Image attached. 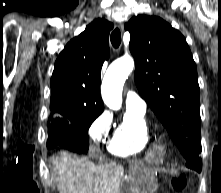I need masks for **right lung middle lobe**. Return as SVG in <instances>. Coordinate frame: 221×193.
Instances as JSON below:
<instances>
[{
  "label": "right lung middle lobe",
  "mask_w": 221,
  "mask_h": 193,
  "mask_svg": "<svg viewBox=\"0 0 221 193\" xmlns=\"http://www.w3.org/2000/svg\"><path fill=\"white\" fill-rule=\"evenodd\" d=\"M101 113L70 116H54L48 124L47 147L57 145L78 153H84L89 147L87 130Z\"/></svg>",
  "instance_id": "right-lung-middle-lobe-1"
}]
</instances>
